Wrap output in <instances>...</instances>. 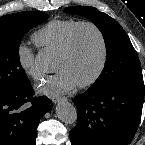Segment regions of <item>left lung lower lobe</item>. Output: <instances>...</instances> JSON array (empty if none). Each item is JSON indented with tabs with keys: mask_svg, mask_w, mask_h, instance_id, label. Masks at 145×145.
I'll return each mask as SVG.
<instances>
[{
	"mask_svg": "<svg viewBox=\"0 0 145 145\" xmlns=\"http://www.w3.org/2000/svg\"><path fill=\"white\" fill-rule=\"evenodd\" d=\"M144 82L134 81L101 90H86L73 101L77 125L72 145H128L140 123Z\"/></svg>",
	"mask_w": 145,
	"mask_h": 145,
	"instance_id": "0a47b994",
	"label": "left lung lower lobe"
}]
</instances>
